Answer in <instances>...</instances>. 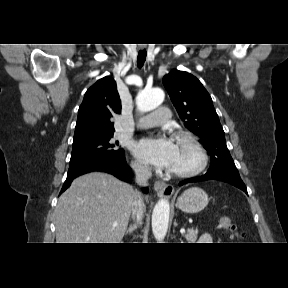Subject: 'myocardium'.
I'll list each match as a JSON object with an SVG mask.
<instances>
[{
  "label": "myocardium",
  "mask_w": 288,
  "mask_h": 288,
  "mask_svg": "<svg viewBox=\"0 0 288 288\" xmlns=\"http://www.w3.org/2000/svg\"><path fill=\"white\" fill-rule=\"evenodd\" d=\"M175 137L177 141L186 144L193 150L196 156V163L193 166L185 169H178V170L171 169L169 170V173L171 175L178 177H190L197 175L198 173L203 171L207 165L208 156L202 144L197 139V137H195L192 133L186 131L176 132Z\"/></svg>",
  "instance_id": "obj_1"
}]
</instances>
